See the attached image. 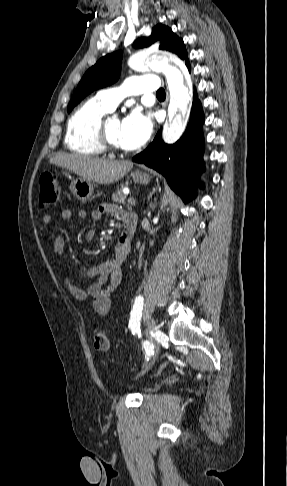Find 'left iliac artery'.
<instances>
[{"mask_svg": "<svg viewBox=\"0 0 287 486\" xmlns=\"http://www.w3.org/2000/svg\"><path fill=\"white\" fill-rule=\"evenodd\" d=\"M143 297L141 295L137 296L134 301L133 308L131 310L130 320H129V328L131 329L133 334H138L140 337V320L142 317V310H143ZM143 349L144 353L149 360V357L154 354V346L149 341H143Z\"/></svg>", "mask_w": 287, "mask_h": 486, "instance_id": "1", "label": "left iliac artery"}]
</instances>
